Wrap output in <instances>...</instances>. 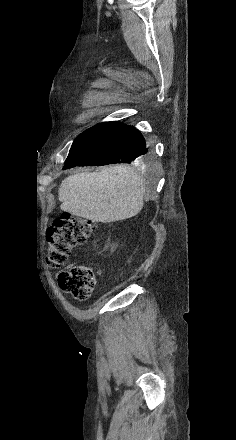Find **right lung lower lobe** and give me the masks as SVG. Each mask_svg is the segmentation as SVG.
<instances>
[{"label":"right lung lower lobe","instance_id":"obj_1","mask_svg":"<svg viewBox=\"0 0 236 440\" xmlns=\"http://www.w3.org/2000/svg\"><path fill=\"white\" fill-rule=\"evenodd\" d=\"M147 154L140 131L120 122H103L73 142L64 169L139 161Z\"/></svg>","mask_w":236,"mask_h":440}]
</instances>
